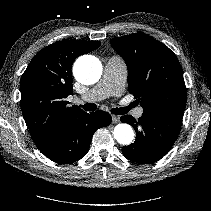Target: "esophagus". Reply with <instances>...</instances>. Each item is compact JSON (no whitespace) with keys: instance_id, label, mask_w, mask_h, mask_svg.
<instances>
[{"instance_id":"obj_1","label":"esophagus","mask_w":211,"mask_h":211,"mask_svg":"<svg viewBox=\"0 0 211 211\" xmlns=\"http://www.w3.org/2000/svg\"><path fill=\"white\" fill-rule=\"evenodd\" d=\"M112 122L114 124L119 123L120 122V117L116 116V115H112Z\"/></svg>"}]
</instances>
